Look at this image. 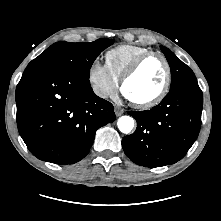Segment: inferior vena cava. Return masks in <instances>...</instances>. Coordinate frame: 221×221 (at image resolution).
I'll list each match as a JSON object with an SVG mask.
<instances>
[{
  "mask_svg": "<svg viewBox=\"0 0 221 221\" xmlns=\"http://www.w3.org/2000/svg\"><path fill=\"white\" fill-rule=\"evenodd\" d=\"M97 94H98L99 96H101V97H106V96H107V94H106L105 92H102V91L97 92Z\"/></svg>",
  "mask_w": 221,
  "mask_h": 221,
  "instance_id": "obj_1",
  "label": "inferior vena cava"
}]
</instances>
